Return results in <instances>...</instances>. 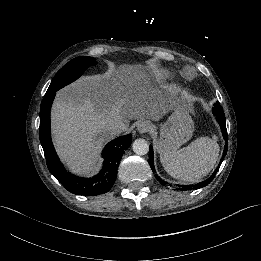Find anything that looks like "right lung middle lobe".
Segmentation results:
<instances>
[{"instance_id":"obj_1","label":"right lung middle lobe","mask_w":261,"mask_h":261,"mask_svg":"<svg viewBox=\"0 0 261 261\" xmlns=\"http://www.w3.org/2000/svg\"><path fill=\"white\" fill-rule=\"evenodd\" d=\"M97 62L93 57L79 56L64 65L54 76L46 94L49 95L78 79L84 71Z\"/></svg>"}]
</instances>
